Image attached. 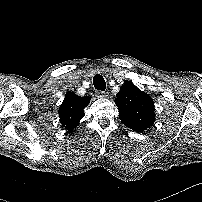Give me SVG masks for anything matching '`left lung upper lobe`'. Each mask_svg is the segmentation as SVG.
<instances>
[{"mask_svg":"<svg viewBox=\"0 0 202 202\" xmlns=\"http://www.w3.org/2000/svg\"><path fill=\"white\" fill-rule=\"evenodd\" d=\"M121 122L130 129L143 132L155 121L152 99L132 82L122 85L115 99Z\"/></svg>","mask_w":202,"mask_h":202,"instance_id":"left-lung-upper-lobe-1","label":"left lung upper lobe"}]
</instances>
